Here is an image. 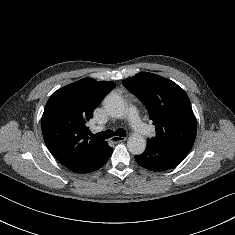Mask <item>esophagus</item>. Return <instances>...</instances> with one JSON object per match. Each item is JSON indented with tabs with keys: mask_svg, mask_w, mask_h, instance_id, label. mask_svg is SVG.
Wrapping results in <instances>:
<instances>
[{
	"mask_svg": "<svg viewBox=\"0 0 235 235\" xmlns=\"http://www.w3.org/2000/svg\"><path fill=\"white\" fill-rule=\"evenodd\" d=\"M125 140H126L125 137H120V136H114L111 138V142H113V143H119V142H123Z\"/></svg>",
	"mask_w": 235,
	"mask_h": 235,
	"instance_id": "1",
	"label": "esophagus"
}]
</instances>
